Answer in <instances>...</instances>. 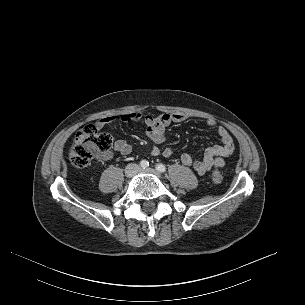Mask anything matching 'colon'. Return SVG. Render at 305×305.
I'll use <instances>...</instances> for the list:
<instances>
[{"label":"colon","mask_w":305,"mask_h":305,"mask_svg":"<svg viewBox=\"0 0 305 305\" xmlns=\"http://www.w3.org/2000/svg\"><path fill=\"white\" fill-rule=\"evenodd\" d=\"M113 139L109 133L100 131L95 125L81 128L74 136L73 147L70 151V162L79 168L88 166L99 154L107 152L112 146ZM223 175L219 170L211 174V181L219 184Z\"/></svg>","instance_id":"colon-1"}]
</instances>
